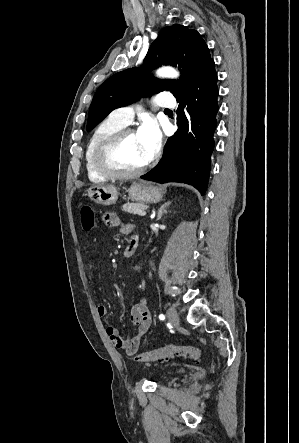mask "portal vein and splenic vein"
Here are the masks:
<instances>
[{"instance_id":"obj_1","label":"portal vein and splenic vein","mask_w":299,"mask_h":443,"mask_svg":"<svg viewBox=\"0 0 299 443\" xmlns=\"http://www.w3.org/2000/svg\"><path fill=\"white\" fill-rule=\"evenodd\" d=\"M137 214H138L139 216H145V215H146V212H145L144 210H140V211L137 212Z\"/></svg>"}]
</instances>
